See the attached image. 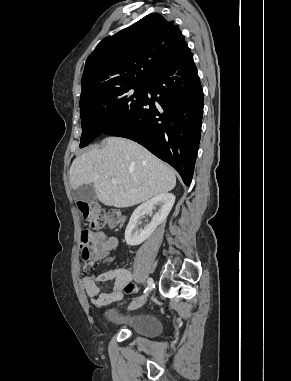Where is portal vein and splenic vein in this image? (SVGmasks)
I'll list each match as a JSON object with an SVG mask.
<instances>
[{"mask_svg": "<svg viewBox=\"0 0 291 381\" xmlns=\"http://www.w3.org/2000/svg\"><path fill=\"white\" fill-rule=\"evenodd\" d=\"M112 183H113L114 185H116V184H117V180L112 179Z\"/></svg>", "mask_w": 291, "mask_h": 381, "instance_id": "obj_1", "label": "portal vein and splenic vein"}]
</instances>
